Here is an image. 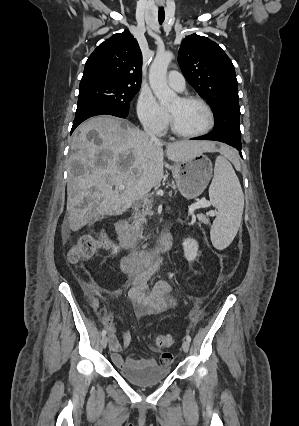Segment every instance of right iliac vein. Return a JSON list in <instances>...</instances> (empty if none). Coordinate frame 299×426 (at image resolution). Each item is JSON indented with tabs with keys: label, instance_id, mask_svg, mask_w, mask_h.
Instances as JSON below:
<instances>
[{
	"label": "right iliac vein",
	"instance_id": "right-iliac-vein-1",
	"mask_svg": "<svg viewBox=\"0 0 299 426\" xmlns=\"http://www.w3.org/2000/svg\"><path fill=\"white\" fill-rule=\"evenodd\" d=\"M107 343H108V337L105 336L101 340V346H102V348H105L107 346Z\"/></svg>",
	"mask_w": 299,
	"mask_h": 426
}]
</instances>
